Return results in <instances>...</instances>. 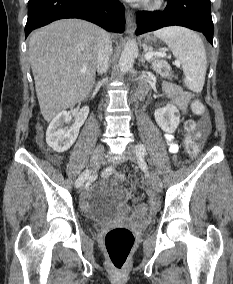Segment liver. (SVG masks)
I'll return each instance as SVG.
<instances>
[{"label": "liver", "mask_w": 233, "mask_h": 284, "mask_svg": "<svg viewBox=\"0 0 233 284\" xmlns=\"http://www.w3.org/2000/svg\"><path fill=\"white\" fill-rule=\"evenodd\" d=\"M99 31L87 21L62 19L31 35L29 58L40 111L47 122L91 92Z\"/></svg>", "instance_id": "liver-1"}]
</instances>
